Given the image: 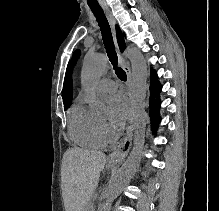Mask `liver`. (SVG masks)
Instances as JSON below:
<instances>
[{"label":"liver","mask_w":219,"mask_h":211,"mask_svg":"<svg viewBox=\"0 0 219 211\" xmlns=\"http://www.w3.org/2000/svg\"><path fill=\"white\" fill-rule=\"evenodd\" d=\"M66 211H83L94 193L108 157L102 151L69 147L63 155Z\"/></svg>","instance_id":"6515ba94"}]
</instances>
